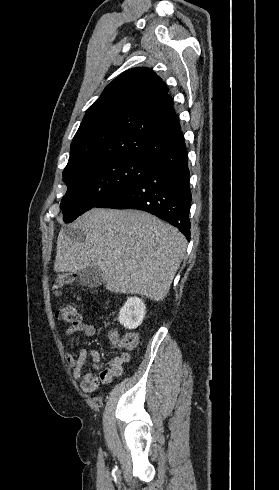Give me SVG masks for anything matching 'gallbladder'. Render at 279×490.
<instances>
[{
	"label": "gallbladder",
	"instance_id": "gallbladder-1",
	"mask_svg": "<svg viewBox=\"0 0 279 490\" xmlns=\"http://www.w3.org/2000/svg\"><path fill=\"white\" fill-rule=\"evenodd\" d=\"M79 282L87 288H99L102 286L103 278L98 266H88L78 274Z\"/></svg>",
	"mask_w": 279,
	"mask_h": 490
}]
</instances>
